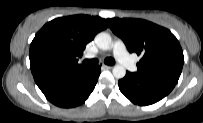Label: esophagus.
Wrapping results in <instances>:
<instances>
[{
  "mask_svg": "<svg viewBox=\"0 0 203 123\" xmlns=\"http://www.w3.org/2000/svg\"><path fill=\"white\" fill-rule=\"evenodd\" d=\"M102 68H103V69H112V66L103 64V65H102Z\"/></svg>",
  "mask_w": 203,
  "mask_h": 123,
  "instance_id": "34e87169",
  "label": "esophagus"
}]
</instances>
